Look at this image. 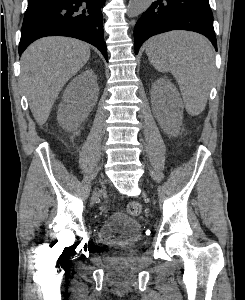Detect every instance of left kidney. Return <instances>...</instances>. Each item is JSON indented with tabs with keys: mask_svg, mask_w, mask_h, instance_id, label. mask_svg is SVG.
<instances>
[{
	"mask_svg": "<svg viewBox=\"0 0 245 300\" xmlns=\"http://www.w3.org/2000/svg\"><path fill=\"white\" fill-rule=\"evenodd\" d=\"M151 104L160 126L168 133H176L183 116V105L176 87L167 79L156 80L151 89Z\"/></svg>",
	"mask_w": 245,
	"mask_h": 300,
	"instance_id": "1",
	"label": "left kidney"
}]
</instances>
